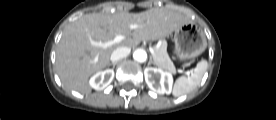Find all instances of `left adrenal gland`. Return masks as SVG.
Masks as SVG:
<instances>
[{
    "instance_id": "left-adrenal-gland-1",
    "label": "left adrenal gland",
    "mask_w": 276,
    "mask_h": 120,
    "mask_svg": "<svg viewBox=\"0 0 276 120\" xmlns=\"http://www.w3.org/2000/svg\"><path fill=\"white\" fill-rule=\"evenodd\" d=\"M149 64H155L152 60V56H150Z\"/></svg>"
}]
</instances>
